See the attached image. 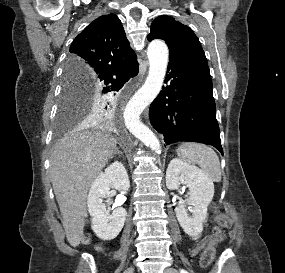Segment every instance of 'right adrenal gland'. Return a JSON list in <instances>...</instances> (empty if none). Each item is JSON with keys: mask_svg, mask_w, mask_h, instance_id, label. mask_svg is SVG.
<instances>
[{"mask_svg": "<svg viewBox=\"0 0 285 273\" xmlns=\"http://www.w3.org/2000/svg\"><path fill=\"white\" fill-rule=\"evenodd\" d=\"M117 154H118L119 156L122 155L121 151H119L118 149H116L112 157H114V156L117 155Z\"/></svg>", "mask_w": 285, "mask_h": 273, "instance_id": "right-adrenal-gland-1", "label": "right adrenal gland"}]
</instances>
